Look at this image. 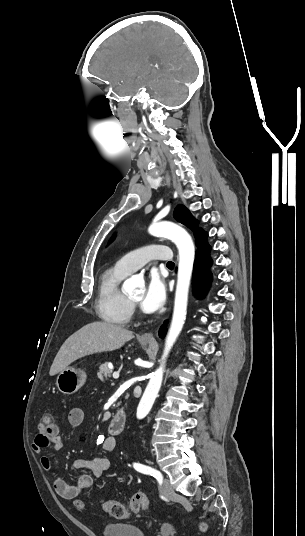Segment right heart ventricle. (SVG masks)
Instances as JSON below:
<instances>
[{"instance_id":"obj_1","label":"right heart ventricle","mask_w":305,"mask_h":536,"mask_svg":"<svg viewBox=\"0 0 305 536\" xmlns=\"http://www.w3.org/2000/svg\"><path fill=\"white\" fill-rule=\"evenodd\" d=\"M127 276L116 267L104 272L96 299L100 318L121 327L129 326L132 319V306L119 288L120 282Z\"/></svg>"}]
</instances>
